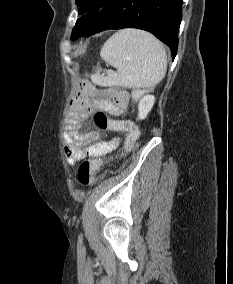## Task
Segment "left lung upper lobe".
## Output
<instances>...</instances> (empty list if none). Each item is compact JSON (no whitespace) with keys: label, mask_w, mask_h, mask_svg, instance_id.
I'll use <instances>...</instances> for the list:
<instances>
[{"label":"left lung upper lobe","mask_w":233,"mask_h":284,"mask_svg":"<svg viewBox=\"0 0 233 284\" xmlns=\"http://www.w3.org/2000/svg\"><path fill=\"white\" fill-rule=\"evenodd\" d=\"M107 2L108 0H76V4L81 8L79 9L78 13L80 15H84L77 20L72 30V40H76L86 34V32L93 25L98 15V10L102 8Z\"/></svg>","instance_id":"1"}]
</instances>
